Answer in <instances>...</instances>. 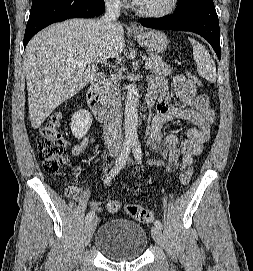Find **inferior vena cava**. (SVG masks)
I'll return each instance as SVG.
<instances>
[{
    "label": "inferior vena cava",
    "instance_id": "inferior-vena-cava-1",
    "mask_svg": "<svg viewBox=\"0 0 253 271\" xmlns=\"http://www.w3.org/2000/svg\"><path fill=\"white\" fill-rule=\"evenodd\" d=\"M120 0H105L104 15L97 21L102 32H109L120 15ZM122 104L117 84H111L105 94L103 135L108 150L117 153L122 144Z\"/></svg>",
    "mask_w": 253,
    "mask_h": 271
}]
</instances>
